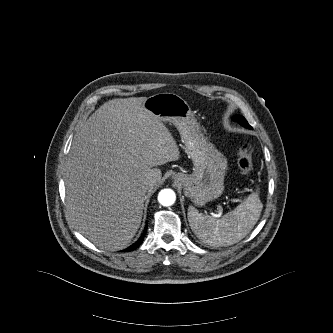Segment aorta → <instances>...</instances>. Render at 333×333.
<instances>
[{"label": "aorta", "instance_id": "obj_1", "mask_svg": "<svg viewBox=\"0 0 333 333\" xmlns=\"http://www.w3.org/2000/svg\"><path fill=\"white\" fill-rule=\"evenodd\" d=\"M175 200L176 195L172 189H163L158 194V201L163 206H171Z\"/></svg>", "mask_w": 333, "mask_h": 333}]
</instances>
